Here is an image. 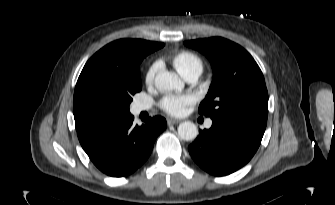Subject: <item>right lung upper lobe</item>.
Wrapping results in <instances>:
<instances>
[{"mask_svg":"<svg viewBox=\"0 0 335 205\" xmlns=\"http://www.w3.org/2000/svg\"><path fill=\"white\" fill-rule=\"evenodd\" d=\"M163 46V43L141 39H120L96 52L85 64L74 91L73 113L77 132L116 119L93 115L89 109L90 100L124 87L132 77L137 61Z\"/></svg>","mask_w":335,"mask_h":205,"instance_id":"right-lung-upper-lobe-1","label":"right lung upper lobe"}]
</instances>
